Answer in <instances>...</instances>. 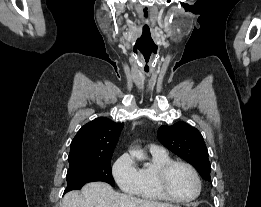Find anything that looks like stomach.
<instances>
[{
	"instance_id": "0dacf381",
	"label": "stomach",
	"mask_w": 261,
	"mask_h": 207,
	"mask_svg": "<svg viewBox=\"0 0 261 207\" xmlns=\"http://www.w3.org/2000/svg\"><path fill=\"white\" fill-rule=\"evenodd\" d=\"M169 207H180V206H176V205H170Z\"/></svg>"
}]
</instances>
